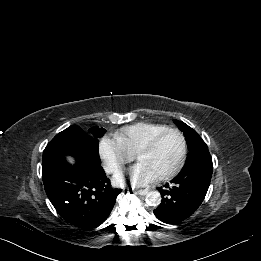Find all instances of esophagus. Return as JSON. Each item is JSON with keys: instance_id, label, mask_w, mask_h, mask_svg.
I'll return each instance as SVG.
<instances>
[{"instance_id": "esophagus-1", "label": "esophagus", "mask_w": 261, "mask_h": 261, "mask_svg": "<svg viewBox=\"0 0 261 261\" xmlns=\"http://www.w3.org/2000/svg\"><path fill=\"white\" fill-rule=\"evenodd\" d=\"M148 189H140V190H136V193H138L139 195H145L148 193Z\"/></svg>"}]
</instances>
